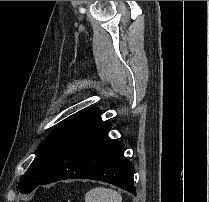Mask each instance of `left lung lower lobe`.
<instances>
[{"mask_svg":"<svg viewBox=\"0 0 209 202\" xmlns=\"http://www.w3.org/2000/svg\"><path fill=\"white\" fill-rule=\"evenodd\" d=\"M111 123L101 111L88 117L60 150L42 185L64 179L104 181L136 195L133 164L124 157L122 142L108 136Z\"/></svg>","mask_w":209,"mask_h":202,"instance_id":"left-lung-lower-lobe-1","label":"left lung lower lobe"}]
</instances>
